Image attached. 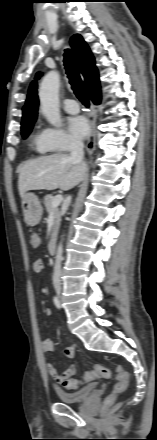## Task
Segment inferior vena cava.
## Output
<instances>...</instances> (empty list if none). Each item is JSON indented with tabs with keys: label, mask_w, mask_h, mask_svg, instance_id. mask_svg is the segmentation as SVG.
<instances>
[{
	"label": "inferior vena cava",
	"mask_w": 157,
	"mask_h": 440,
	"mask_svg": "<svg viewBox=\"0 0 157 440\" xmlns=\"http://www.w3.org/2000/svg\"><path fill=\"white\" fill-rule=\"evenodd\" d=\"M84 144L81 139H74L71 147L70 159L74 164L80 165L82 164L84 158ZM67 202L71 201V197H67ZM62 245L60 244L57 248L56 257H55V266L53 273V285L54 288L58 291L61 289V262L63 260L62 257Z\"/></svg>",
	"instance_id": "inferior-vena-cava-1"
}]
</instances>
